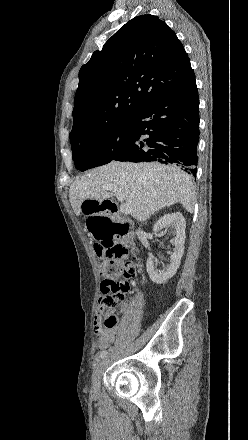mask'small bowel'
<instances>
[{"label": "small bowel", "instance_id": "1", "mask_svg": "<svg viewBox=\"0 0 248 440\" xmlns=\"http://www.w3.org/2000/svg\"><path fill=\"white\" fill-rule=\"evenodd\" d=\"M105 312V309L97 308L94 320H93V329L94 333L97 337V346L100 350H104L108 348L111 343L115 340L116 334H117V326L113 327H107L103 326L102 323V316ZM108 314H114V310H106V315Z\"/></svg>", "mask_w": 248, "mask_h": 440}]
</instances>
